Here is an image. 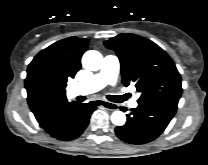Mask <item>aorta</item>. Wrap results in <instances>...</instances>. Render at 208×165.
<instances>
[{"label": "aorta", "mask_w": 208, "mask_h": 165, "mask_svg": "<svg viewBox=\"0 0 208 165\" xmlns=\"http://www.w3.org/2000/svg\"><path fill=\"white\" fill-rule=\"evenodd\" d=\"M103 57L100 52L95 50L86 51L82 57V65L90 71H97L101 68ZM111 121L116 126H122L126 122V116L122 111H114L111 115Z\"/></svg>", "instance_id": "1"}]
</instances>
